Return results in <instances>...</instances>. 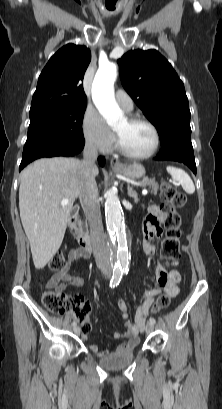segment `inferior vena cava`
<instances>
[{"label":"inferior vena cava","mask_w":222,"mask_h":409,"mask_svg":"<svg viewBox=\"0 0 222 409\" xmlns=\"http://www.w3.org/2000/svg\"><path fill=\"white\" fill-rule=\"evenodd\" d=\"M98 149L94 142L87 141L80 163L79 199L90 226V236L94 256L98 268L106 272L112 268L108 243L105 239L100 206L98 204V188L95 181Z\"/></svg>","instance_id":"obj_1"}]
</instances>
